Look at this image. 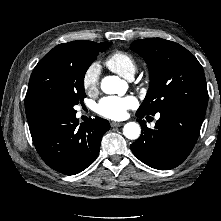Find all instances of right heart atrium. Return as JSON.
<instances>
[{
  "instance_id": "right-heart-atrium-1",
  "label": "right heart atrium",
  "mask_w": 221,
  "mask_h": 221,
  "mask_svg": "<svg viewBox=\"0 0 221 221\" xmlns=\"http://www.w3.org/2000/svg\"><path fill=\"white\" fill-rule=\"evenodd\" d=\"M100 72V66L97 63H92L86 68L82 76V86L86 93L94 94L98 91Z\"/></svg>"
}]
</instances>
